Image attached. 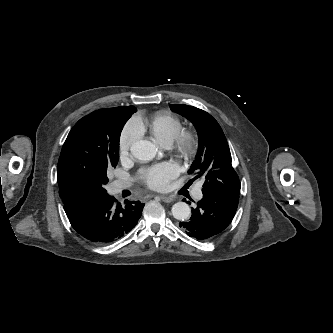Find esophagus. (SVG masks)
Here are the masks:
<instances>
[{
    "mask_svg": "<svg viewBox=\"0 0 333 333\" xmlns=\"http://www.w3.org/2000/svg\"><path fill=\"white\" fill-rule=\"evenodd\" d=\"M160 198L162 199L163 202L165 203H171L174 201V198L172 196H165L161 195Z\"/></svg>",
    "mask_w": 333,
    "mask_h": 333,
    "instance_id": "1",
    "label": "esophagus"
}]
</instances>
